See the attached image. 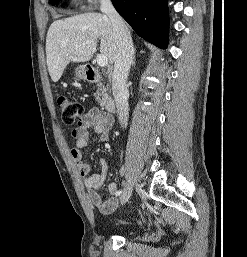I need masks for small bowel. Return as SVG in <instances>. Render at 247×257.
<instances>
[{"mask_svg": "<svg viewBox=\"0 0 247 257\" xmlns=\"http://www.w3.org/2000/svg\"><path fill=\"white\" fill-rule=\"evenodd\" d=\"M112 126L113 120L109 115L98 108H91L79 121L77 127L71 132V135L76 140L75 147L71 150V156L89 191V199L102 214L106 215L111 214L116 210L118 206L117 192L119 190L115 183H110L108 185V191L112 197L106 200L101 198L98 190L106 181L109 165L105 159H101V171L97 174L89 175V165L84 160L82 150L91 143V132L100 135L101 140L106 142Z\"/></svg>", "mask_w": 247, "mask_h": 257, "instance_id": "1", "label": "small bowel"}]
</instances>
